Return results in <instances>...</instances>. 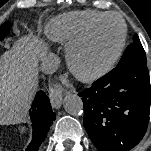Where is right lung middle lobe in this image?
Returning a JSON list of instances; mask_svg holds the SVG:
<instances>
[{
    "mask_svg": "<svg viewBox=\"0 0 151 151\" xmlns=\"http://www.w3.org/2000/svg\"><path fill=\"white\" fill-rule=\"evenodd\" d=\"M10 26L8 22H5L0 27V40L3 39L9 32Z\"/></svg>",
    "mask_w": 151,
    "mask_h": 151,
    "instance_id": "obj_1",
    "label": "right lung middle lobe"
}]
</instances>
